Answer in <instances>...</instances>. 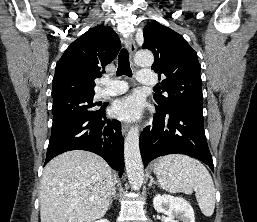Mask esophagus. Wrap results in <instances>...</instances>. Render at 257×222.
I'll return each mask as SVG.
<instances>
[{
	"label": "esophagus",
	"instance_id": "34e87169",
	"mask_svg": "<svg viewBox=\"0 0 257 222\" xmlns=\"http://www.w3.org/2000/svg\"><path fill=\"white\" fill-rule=\"evenodd\" d=\"M125 45L129 51L130 55L133 56L134 53L136 52L137 47H136L134 39L131 36H129L125 39ZM128 130H129V125L123 124L121 127L122 134L126 135Z\"/></svg>",
	"mask_w": 257,
	"mask_h": 222
}]
</instances>
